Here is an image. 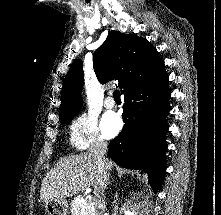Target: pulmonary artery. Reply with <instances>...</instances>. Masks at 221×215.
<instances>
[{
    "instance_id": "pulmonary-artery-1",
    "label": "pulmonary artery",
    "mask_w": 221,
    "mask_h": 215,
    "mask_svg": "<svg viewBox=\"0 0 221 215\" xmlns=\"http://www.w3.org/2000/svg\"><path fill=\"white\" fill-rule=\"evenodd\" d=\"M104 106L107 109H112L115 107V102L111 97H107L104 101Z\"/></svg>"
}]
</instances>
